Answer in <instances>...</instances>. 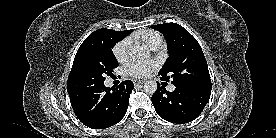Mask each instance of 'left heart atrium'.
<instances>
[{
	"mask_svg": "<svg viewBox=\"0 0 276 138\" xmlns=\"http://www.w3.org/2000/svg\"><path fill=\"white\" fill-rule=\"evenodd\" d=\"M155 69L152 62H130L126 66V73L136 78H144L150 75Z\"/></svg>",
	"mask_w": 276,
	"mask_h": 138,
	"instance_id": "obj_1",
	"label": "left heart atrium"
}]
</instances>
